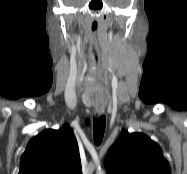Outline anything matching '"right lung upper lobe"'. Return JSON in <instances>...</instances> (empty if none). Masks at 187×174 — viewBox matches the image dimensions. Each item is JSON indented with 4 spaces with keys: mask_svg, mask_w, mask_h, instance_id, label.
<instances>
[{
    "mask_svg": "<svg viewBox=\"0 0 187 174\" xmlns=\"http://www.w3.org/2000/svg\"><path fill=\"white\" fill-rule=\"evenodd\" d=\"M18 174H82L78 144L69 125L31 139Z\"/></svg>",
    "mask_w": 187,
    "mask_h": 174,
    "instance_id": "obj_1",
    "label": "right lung upper lobe"
}]
</instances>
